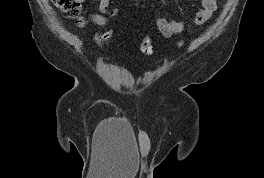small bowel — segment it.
I'll return each mask as SVG.
<instances>
[{
	"mask_svg": "<svg viewBox=\"0 0 264 178\" xmlns=\"http://www.w3.org/2000/svg\"><path fill=\"white\" fill-rule=\"evenodd\" d=\"M85 0H82L84 2ZM140 2L142 0H133ZM99 11L91 14L89 17L81 15L76 20L79 28H84L88 21L93 22L99 27H103L108 23L109 18L115 17L119 13L118 8L110 7V0H98ZM217 9V0H201V9L196 13L192 26L198 27L208 21ZM155 25L162 36L170 38L181 33L185 24L179 20L167 19L156 15L154 17Z\"/></svg>",
	"mask_w": 264,
	"mask_h": 178,
	"instance_id": "c3829d8e",
	"label": "small bowel"
}]
</instances>
